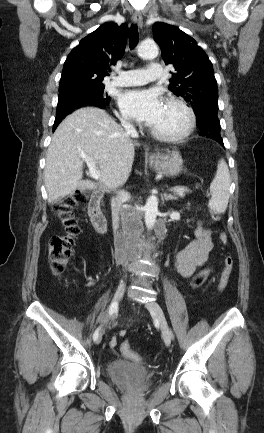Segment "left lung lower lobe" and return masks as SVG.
I'll return each instance as SVG.
<instances>
[{
  "mask_svg": "<svg viewBox=\"0 0 264 433\" xmlns=\"http://www.w3.org/2000/svg\"><path fill=\"white\" fill-rule=\"evenodd\" d=\"M196 116H197V125L200 130V135L202 136H207V134L211 135L212 133L214 134L213 131H217L220 129V121L218 119L216 111L205 110L200 113H197ZM214 140H216L218 143L224 146L222 138L217 137Z\"/></svg>",
  "mask_w": 264,
  "mask_h": 433,
  "instance_id": "1",
  "label": "left lung lower lobe"
}]
</instances>
